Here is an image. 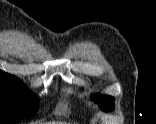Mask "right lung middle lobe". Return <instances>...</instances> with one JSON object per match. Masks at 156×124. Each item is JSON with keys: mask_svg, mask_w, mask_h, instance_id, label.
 <instances>
[{"mask_svg": "<svg viewBox=\"0 0 156 124\" xmlns=\"http://www.w3.org/2000/svg\"><path fill=\"white\" fill-rule=\"evenodd\" d=\"M38 107V97L19 79L0 77V124L17 123L34 115Z\"/></svg>", "mask_w": 156, "mask_h": 124, "instance_id": "dd1d6c3e", "label": "right lung middle lobe"}]
</instances>
